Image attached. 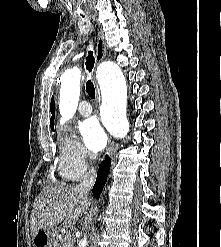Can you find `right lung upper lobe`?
Returning a JSON list of instances; mask_svg holds the SVG:
<instances>
[{
    "label": "right lung upper lobe",
    "instance_id": "right-lung-upper-lobe-1",
    "mask_svg": "<svg viewBox=\"0 0 221 247\" xmlns=\"http://www.w3.org/2000/svg\"><path fill=\"white\" fill-rule=\"evenodd\" d=\"M50 111H51V113H52V117H51V119H50V126H51V130H54V125H53L54 118H55V104H54V97H52V100H51Z\"/></svg>",
    "mask_w": 221,
    "mask_h": 247
}]
</instances>
